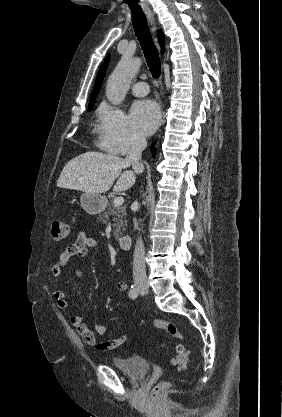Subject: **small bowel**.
Listing matches in <instances>:
<instances>
[{"instance_id":"small-bowel-1","label":"small bowel","mask_w":282,"mask_h":417,"mask_svg":"<svg viewBox=\"0 0 282 417\" xmlns=\"http://www.w3.org/2000/svg\"><path fill=\"white\" fill-rule=\"evenodd\" d=\"M98 246L95 238L88 235L85 231H80L77 235L76 241L62 251L52 266L51 273L55 278L60 277L68 266L73 257H84L90 249ZM73 275L77 280L82 279V272L79 269L77 261L72 263ZM116 289L119 292H126L128 289L124 281L116 283ZM53 298L60 309H67L69 304L65 292L62 289H55L53 291ZM71 323L83 342L91 349L99 353L111 352L117 349L122 343L128 339V333H123L119 337L108 340H101L97 336L106 335L114 326L113 324H96L93 328H89L84 322L81 315L76 314L71 317Z\"/></svg>"}]
</instances>
